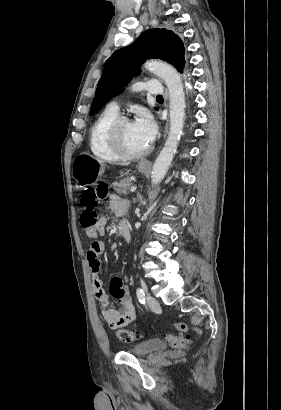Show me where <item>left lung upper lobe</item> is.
<instances>
[{
    "instance_id": "5c2ea615",
    "label": "left lung upper lobe",
    "mask_w": 281,
    "mask_h": 410,
    "mask_svg": "<svg viewBox=\"0 0 281 410\" xmlns=\"http://www.w3.org/2000/svg\"><path fill=\"white\" fill-rule=\"evenodd\" d=\"M184 52L180 38L165 28L147 30L130 46L115 51L104 65L90 115L97 113L105 103L117 96L132 76L140 73V65L149 58L167 61L183 73Z\"/></svg>"
}]
</instances>
